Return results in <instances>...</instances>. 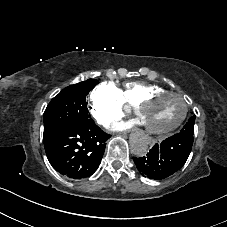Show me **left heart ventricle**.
<instances>
[{
  "label": "left heart ventricle",
  "mask_w": 227,
  "mask_h": 227,
  "mask_svg": "<svg viewBox=\"0 0 227 227\" xmlns=\"http://www.w3.org/2000/svg\"><path fill=\"white\" fill-rule=\"evenodd\" d=\"M184 102L174 95H163L142 106L137 123L146 130H165L182 116Z\"/></svg>",
  "instance_id": "1"
}]
</instances>
